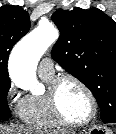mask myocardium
<instances>
[{
  "label": "myocardium",
  "instance_id": "1",
  "mask_svg": "<svg viewBox=\"0 0 116 134\" xmlns=\"http://www.w3.org/2000/svg\"><path fill=\"white\" fill-rule=\"evenodd\" d=\"M65 82H73L78 85L88 96L91 110L89 115L82 121L75 122L68 120L60 111L58 105V93L59 90ZM46 98L49 104L50 111L54 118L62 125L73 128H80L87 126L90 124L96 117L98 111V104L95 95L91 91V89L80 79L72 75H60L54 77L48 86V90L46 92Z\"/></svg>",
  "mask_w": 116,
  "mask_h": 134
}]
</instances>
